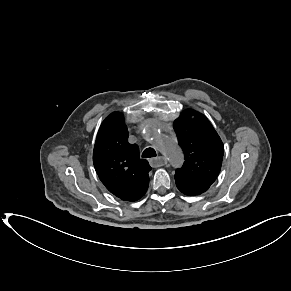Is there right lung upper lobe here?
Instances as JSON below:
<instances>
[{
	"label": "right lung upper lobe",
	"instance_id": "obj_1",
	"mask_svg": "<svg viewBox=\"0 0 291 291\" xmlns=\"http://www.w3.org/2000/svg\"><path fill=\"white\" fill-rule=\"evenodd\" d=\"M128 130L120 112L111 113L101 124L93 151V163L99 179L115 196L136 201L147 191V160L140 159L136 144L128 143Z\"/></svg>",
	"mask_w": 291,
	"mask_h": 291
}]
</instances>
